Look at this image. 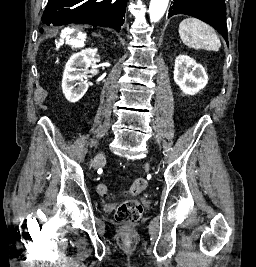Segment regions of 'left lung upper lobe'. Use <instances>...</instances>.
I'll return each instance as SVG.
<instances>
[{"mask_svg": "<svg viewBox=\"0 0 256 267\" xmlns=\"http://www.w3.org/2000/svg\"><path fill=\"white\" fill-rule=\"evenodd\" d=\"M176 14L190 15L210 24L228 44L224 0H174L168 18Z\"/></svg>", "mask_w": 256, "mask_h": 267, "instance_id": "left-lung-upper-lobe-1", "label": "left lung upper lobe"}]
</instances>
